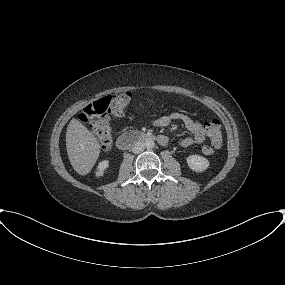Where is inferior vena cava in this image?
Returning a JSON list of instances; mask_svg holds the SVG:
<instances>
[{"mask_svg":"<svg viewBox=\"0 0 285 285\" xmlns=\"http://www.w3.org/2000/svg\"><path fill=\"white\" fill-rule=\"evenodd\" d=\"M145 149V146L143 143H136L133 147H132V152L134 154H139L141 152H143Z\"/></svg>","mask_w":285,"mask_h":285,"instance_id":"602c4592","label":"inferior vena cava"}]
</instances>
